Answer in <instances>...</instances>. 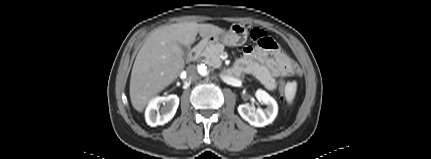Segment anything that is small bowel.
<instances>
[{"instance_id": "obj_1", "label": "small bowel", "mask_w": 431, "mask_h": 159, "mask_svg": "<svg viewBox=\"0 0 431 159\" xmlns=\"http://www.w3.org/2000/svg\"><path fill=\"white\" fill-rule=\"evenodd\" d=\"M268 42V45L257 43L245 46L234 69L238 73L252 74L267 89L275 90L276 79L294 75L298 67L273 39L268 37Z\"/></svg>"}]
</instances>
